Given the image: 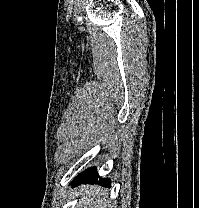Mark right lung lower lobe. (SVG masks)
<instances>
[{
  "label": "right lung lower lobe",
  "instance_id": "1",
  "mask_svg": "<svg viewBox=\"0 0 199 208\" xmlns=\"http://www.w3.org/2000/svg\"><path fill=\"white\" fill-rule=\"evenodd\" d=\"M81 183H98L102 186H110L109 179H102L100 178L98 181V174L96 168L93 167L92 169H87L86 171L79 174L72 182V186L79 185Z\"/></svg>",
  "mask_w": 199,
  "mask_h": 208
}]
</instances>
